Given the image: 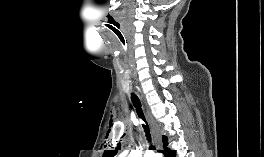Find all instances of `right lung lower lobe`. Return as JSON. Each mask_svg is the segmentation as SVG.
Listing matches in <instances>:
<instances>
[{
  "mask_svg": "<svg viewBox=\"0 0 264 157\" xmlns=\"http://www.w3.org/2000/svg\"><path fill=\"white\" fill-rule=\"evenodd\" d=\"M164 154V157H175L174 151H170L167 147L161 151Z\"/></svg>",
  "mask_w": 264,
  "mask_h": 157,
  "instance_id": "obj_1",
  "label": "right lung lower lobe"
}]
</instances>
